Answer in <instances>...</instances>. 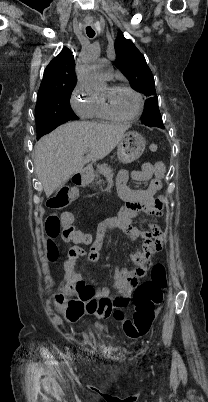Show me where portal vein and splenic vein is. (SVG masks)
Listing matches in <instances>:
<instances>
[{
  "mask_svg": "<svg viewBox=\"0 0 208 402\" xmlns=\"http://www.w3.org/2000/svg\"><path fill=\"white\" fill-rule=\"evenodd\" d=\"M91 156L90 154H86L85 162H90ZM101 169H107V166H101Z\"/></svg>",
  "mask_w": 208,
  "mask_h": 402,
  "instance_id": "1",
  "label": "portal vein and splenic vein"
}]
</instances>
